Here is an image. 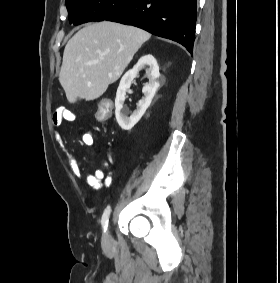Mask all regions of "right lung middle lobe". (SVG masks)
I'll return each instance as SVG.
<instances>
[{
	"instance_id": "dd1d6c3e",
	"label": "right lung middle lobe",
	"mask_w": 280,
	"mask_h": 283,
	"mask_svg": "<svg viewBox=\"0 0 280 283\" xmlns=\"http://www.w3.org/2000/svg\"><path fill=\"white\" fill-rule=\"evenodd\" d=\"M132 0H66L69 22L79 25L102 21L126 6Z\"/></svg>"
}]
</instances>
